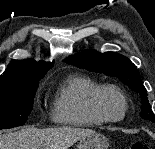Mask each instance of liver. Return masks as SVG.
<instances>
[{
  "instance_id": "6515ba94",
  "label": "liver",
  "mask_w": 155,
  "mask_h": 149,
  "mask_svg": "<svg viewBox=\"0 0 155 149\" xmlns=\"http://www.w3.org/2000/svg\"><path fill=\"white\" fill-rule=\"evenodd\" d=\"M91 129L60 127L54 129L22 128L0 135V149H68Z\"/></svg>"
}]
</instances>
